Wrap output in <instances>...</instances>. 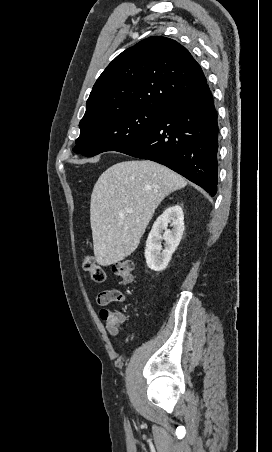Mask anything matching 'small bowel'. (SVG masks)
<instances>
[{
    "label": "small bowel",
    "mask_w": 272,
    "mask_h": 452,
    "mask_svg": "<svg viewBox=\"0 0 272 452\" xmlns=\"http://www.w3.org/2000/svg\"><path fill=\"white\" fill-rule=\"evenodd\" d=\"M97 301L102 306L112 302L123 303L126 301V296L117 289L104 290L98 294ZM100 318L105 323L109 333L111 335H117L126 320V315L122 311L112 312L107 309H102Z\"/></svg>",
    "instance_id": "small-bowel-1"
}]
</instances>
